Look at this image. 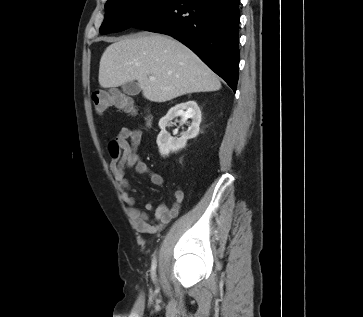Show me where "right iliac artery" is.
Segmentation results:
<instances>
[{
	"label": "right iliac artery",
	"instance_id": "right-iliac-artery-1",
	"mask_svg": "<svg viewBox=\"0 0 363 317\" xmlns=\"http://www.w3.org/2000/svg\"><path fill=\"white\" fill-rule=\"evenodd\" d=\"M155 271H156V259L155 257L152 260V267H151V273H152V277H155Z\"/></svg>",
	"mask_w": 363,
	"mask_h": 317
}]
</instances>
